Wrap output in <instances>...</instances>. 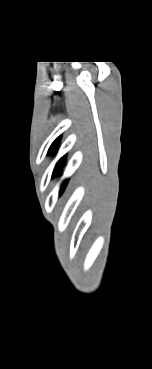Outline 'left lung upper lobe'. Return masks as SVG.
Masks as SVG:
<instances>
[{
	"instance_id": "1",
	"label": "left lung upper lobe",
	"mask_w": 152,
	"mask_h": 369,
	"mask_svg": "<svg viewBox=\"0 0 152 369\" xmlns=\"http://www.w3.org/2000/svg\"><path fill=\"white\" fill-rule=\"evenodd\" d=\"M59 140H60V137H58L53 143H52V145L50 146V148H49V152H52V151H54L55 149H57V147H58V144H59ZM65 156L64 157H62L59 161H58V163L56 164V166H55V169H54V171H53V176H56V175H58L59 174V172H60V170H61V168L63 167V165H64V162H65ZM66 186V182L62 185V188H61V191H60V193H62V191H63V189H64V187Z\"/></svg>"
}]
</instances>
